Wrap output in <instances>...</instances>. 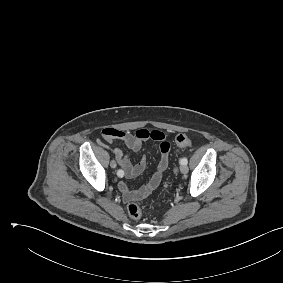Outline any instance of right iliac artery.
<instances>
[{
	"label": "right iliac artery",
	"instance_id": "82829eb1",
	"mask_svg": "<svg viewBox=\"0 0 283 283\" xmlns=\"http://www.w3.org/2000/svg\"><path fill=\"white\" fill-rule=\"evenodd\" d=\"M122 173H123L122 170H118V171H117V175H118V176H120Z\"/></svg>",
	"mask_w": 283,
	"mask_h": 283
}]
</instances>
